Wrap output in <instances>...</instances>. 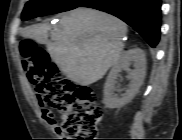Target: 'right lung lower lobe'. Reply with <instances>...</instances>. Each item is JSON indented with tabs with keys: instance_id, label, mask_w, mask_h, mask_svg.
<instances>
[{
	"instance_id": "right-lung-lower-lobe-1",
	"label": "right lung lower lobe",
	"mask_w": 182,
	"mask_h": 140,
	"mask_svg": "<svg viewBox=\"0 0 182 140\" xmlns=\"http://www.w3.org/2000/svg\"><path fill=\"white\" fill-rule=\"evenodd\" d=\"M79 7L110 13L134 28L155 47L160 39L161 0H86Z\"/></svg>"
}]
</instances>
